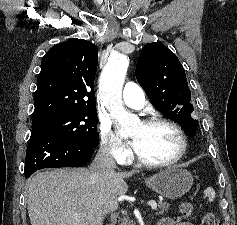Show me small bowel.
<instances>
[{
  "instance_id": "1",
  "label": "small bowel",
  "mask_w": 237,
  "mask_h": 225,
  "mask_svg": "<svg viewBox=\"0 0 237 225\" xmlns=\"http://www.w3.org/2000/svg\"><path fill=\"white\" fill-rule=\"evenodd\" d=\"M157 225H193L190 222H175L172 218L166 217L161 219Z\"/></svg>"
}]
</instances>
